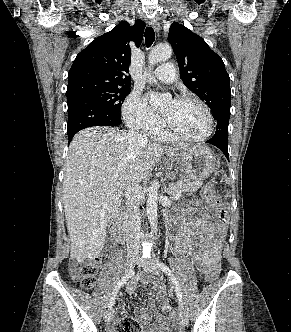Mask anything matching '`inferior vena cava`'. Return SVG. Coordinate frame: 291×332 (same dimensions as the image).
<instances>
[{
	"instance_id": "1",
	"label": "inferior vena cava",
	"mask_w": 291,
	"mask_h": 332,
	"mask_svg": "<svg viewBox=\"0 0 291 332\" xmlns=\"http://www.w3.org/2000/svg\"><path fill=\"white\" fill-rule=\"evenodd\" d=\"M129 136L133 143L140 145L148 142L145 135L135 131H130ZM125 198H126V243L129 254H138L140 251V183L134 178L126 179Z\"/></svg>"
}]
</instances>
